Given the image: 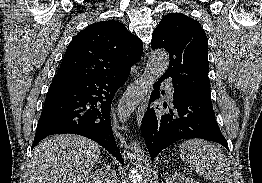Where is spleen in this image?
<instances>
[{
  "mask_svg": "<svg viewBox=\"0 0 262 183\" xmlns=\"http://www.w3.org/2000/svg\"><path fill=\"white\" fill-rule=\"evenodd\" d=\"M179 153L180 158L203 178L213 183H232L227 158L214 144L201 139L186 140L181 144Z\"/></svg>",
  "mask_w": 262,
  "mask_h": 183,
  "instance_id": "spleen-1",
  "label": "spleen"
}]
</instances>
